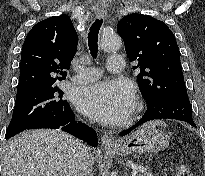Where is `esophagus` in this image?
I'll use <instances>...</instances> for the list:
<instances>
[{"instance_id":"1","label":"esophagus","mask_w":205,"mask_h":176,"mask_svg":"<svg viewBox=\"0 0 205 176\" xmlns=\"http://www.w3.org/2000/svg\"><path fill=\"white\" fill-rule=\"evenodd\" d=\"M106 15H107L106 7H100L97 9V16L99 18H103ZM101 144L103 147H108V148L117 146V142L111 133H105L101 136Z\"/></svg>"}]
</instances>
